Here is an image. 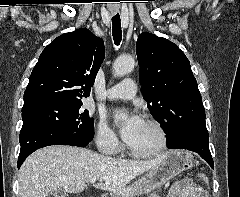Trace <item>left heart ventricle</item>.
Instances as JSON below:
<instances>
[{
    "mask_svg": "<svg viewBox=\"0 0 240 197\" xmlns=\"http://www.w3.org/2000/svg\"><path fill=\"white\" fill-rule=\"evenodd\" d=\"M158 135L156 130L144 122L142 129L136 138L128 144L131 148L138 150H150L157 146Z\"/></svg>",
    "mask_w": 240,
    "mask_h": 197,
    "instance_id": "1",
    "label": "left heart ventricle"
}]
</instances>
